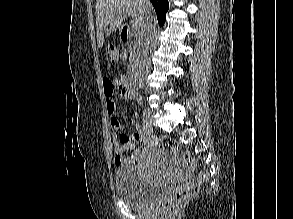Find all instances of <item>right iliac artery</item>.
<instances>
[{
    "instance_id": "obj_1",
    "label": "right iliac artery",
    "mask_w": 293,
    "mask_h": 219,
    "mask_svg": "<svg viewBox=\"0 0 293 219\" xmlns=\"http://www.w3.org/2000/svg\"><path fill=\"white\" fill-rule=\"evenodd\" d=\"M142 128L145 132H149L148 125H147V123L145 124V121L142 123Z\"/></svg>"
}]
</instances>
